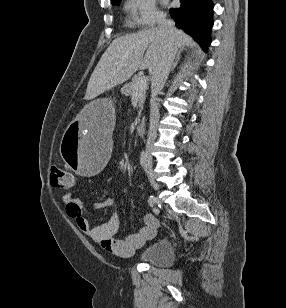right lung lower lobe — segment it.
<instances>
[{
    "label": "right lung lower lobe",
    "instance_id": "obj_1",
    "mask_svg": "<svg viewBox=\"0 0 286 308\" xmlns=\"http://www.w3.org/2000/svg\"><path fill=\"white\" fill-rule=\"evenodd\" d=\"M181 6L170 9L176 26L190 34L205 50L211 43L213 26L211 0H180Z\"/></svg>",
    "mask_w": 286,
    "mask_h": 308
}]
</instances>
